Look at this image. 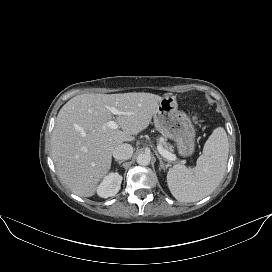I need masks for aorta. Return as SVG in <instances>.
Returning <instances> with one entry per match:
<instances>
[{
    "mask_svg": "<svg viewBox=\"0 0 272 272\" xmlns=\"http://www.w3.org/2000/svg\"><path fill=\"white\" fill-rule=\"evenodd\" d=\"M151 155L149 153H141L137 156V163L141 166H147L150 164Z\"/></svg>",
    "mask_w": 272,
    "mask_h": 272,
    "instance_id": "aorta-1",
    "label": "aorta"
}]
</instances>
